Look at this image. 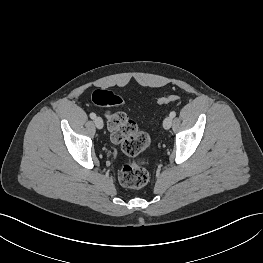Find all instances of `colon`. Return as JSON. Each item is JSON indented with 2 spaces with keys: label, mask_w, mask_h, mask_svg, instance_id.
Returning a JSON list of instances; mask_svg holds the SVG:
<instances>
[{
  "label": "colon",
  "mask_w": 263,
  "mask_h": 263,
  "mask_svg": "<svg viewBox=\"0 0 263 263\" xmlns=\"http://www.w3.org/2000/svg\"><path fill=\"white\" fill-rule=\"evenodd\" d=\"M178 99L177 95L168 94L159 98V104L173 103ZM93 102L100 107H115L123 104L120 96L110 90L98 89L92 95ZM107 127L111 140L120 145L123 153L135 158L149 145V135L140 131L136 123L124 112H112L106 115ZM119 180L122 185L130 188L143 187L149 180V173L144 162L139 159L127 161L119 172Z\"/></svg>",
  "instance_id": "colon-1"
}]
</instances>
